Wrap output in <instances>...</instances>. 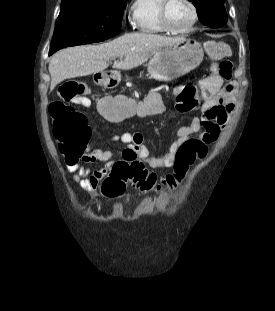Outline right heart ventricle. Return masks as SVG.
Wrapping results in <instances>:
<instances>
[{
    "label": "right heart ventricle",
    "instance_id": "1",
    "mask_svg": "<svg viewBox=\"0 0 275 311\" xmlns=\"http://www.w3.org/2000/svg\"><path fill=\"white\" fill-rule=\"evenodd\" d=\"M161 0H133L131 15L135 27L145 34H164L167 31L159 19Z\"/></svg>",
    "mask_w": 275,
    "mask_h": 311
}]
</instances>
